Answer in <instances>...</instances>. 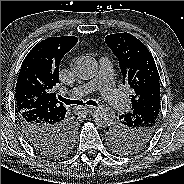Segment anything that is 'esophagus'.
Segmentation results:
<instances>
[{
  "instance_id": "34e87169",
  "label": "esophagus",
  "mask_w": 184,
  "mask_h": 184,
  "mask_svg": "<svg viewBox=\"0 0 184 184\" xmlns=\"http://www.w3.org/2000/svg\"><path fill=\"white\" fill-rule=\"evenodd\" d=\"M95 110H96V107L94 106H86V107L79 108V113L80 114H91Z\"/></svg>"
}]
</instances>
